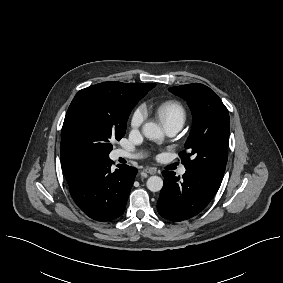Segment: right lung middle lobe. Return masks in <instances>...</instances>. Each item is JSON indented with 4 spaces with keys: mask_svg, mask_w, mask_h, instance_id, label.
Wrapping results in <instances>:
<instances>
[{
    "mask_svg": "<svg viewBox=\"0 0 283 283\" xmlns=\"http://www.w3.org/2000/svg\"><path fill=\"white\" fill-rule=\"evenodd\" d=\"M146 93L101 83L80 90L66 113L61 139L88 160L108 157L111 142L124 136L131 110Z\"/></svg>",
    "mask_w": 283,
    "mask_h": 283,
    "instance_id": "1",
    "label": "right lung middle lobe"
}]
</instances>
